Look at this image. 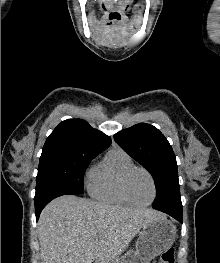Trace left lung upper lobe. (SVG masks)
I'll use <instances>...</instances> for the list:
<instances>
[{"mask_svg":"<svg viewBox=\"0 0 220 263\" xmlns=\"http://www.w3.org/2000/svg\"><path fill=\"white\" fill-rule=\"evenodd\" d=\"M117 144L152 175L156 210L182 211L177 162L171 145L154 126L139 123L114 135Z\"/></svg>","mask_w":220,"mask_h":263,"instance_id":"obj_1","label":"left lung upper lobe"}]
</instances>
